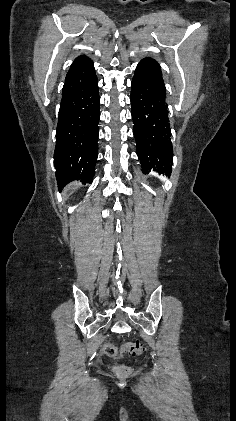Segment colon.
<instances>
[{"mask_svg":"<svg viewBox=\"0 0 236 421\" xmlns=\"http://www.w3.org/2000/svg\"><path fill=\"white\" fill-rule=\"evenodd\" d=\"M144 351V346L140 342H127L122 345L121 349L118 350L111 343L104 345V354L109 358H117L122 356L124 353L132 355H140ZM114 372L121 377L128 376L131 373V368L126 365L116 364L113 367Z\"/></svg>","mask_w":236,"mask_h":421,"instance_id":"colon-1","label":"colon"}]
</instances>
